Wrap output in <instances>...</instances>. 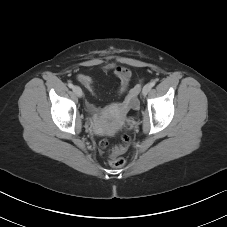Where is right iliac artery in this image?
Masks as SVG:
<instances>
[{
    "label": "right iliac artery",
    "instance_id": "right-iliac-artery-1",
    "mask_svg": "<svg viewBox=\"0 0 227 227\" xmlns=\"http://www.w3.org/2000/svg\"><path fill=\"white\" fill-rule=\"evenodd\" d=\"M68 87H69V88H73L74 86H73L72 83H68Z\"/></svg>",
    "mask_w": 227,
    "mask_h": 227
}]
</instances>
